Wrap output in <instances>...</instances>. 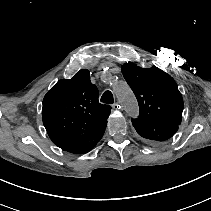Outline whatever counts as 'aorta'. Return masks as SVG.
<instances>
[{
    "mask_svg": "<svg viewBox=\"0 0 211 211\" xmlns=\"http://www.w3.org/2000/svg\"><path fill=\"white\" fill-rule=\"evenodd\" d=\"M114 92L118 100L124 105L126 112L129 115L136 116L138 113L137 101L127 84L120 83L116 85L114 87Z\"/></svg>",
    "mask_w": 211,
    "mask_h": 211,
    "instance_id": "aorta-1",
    "label": "aorta"
}]
</instances>
